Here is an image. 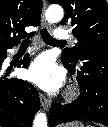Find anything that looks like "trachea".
Returning a JSON list of instances; mask_svg holds the SVG:
<instances>
[{
    "label": "trachea",
    "instance_id": "obj_1",
    "mask_svg": "<svg viewBox=\"0 0 108 127\" xmlns=\"http://www.w3.org/2000/svg\"><path fill=\"white\" fill-rule=\"evenodd\" d=\"M41 37L43 39V41L46 43V44H65L66 42L65 41H61V40H56L54 39L46 29H42L41 30ZM30 43V40H24L22 42V45H28Z\"/></svg>",
    "mask_w": 108,
    "mask_h": 127
}]
</instances>
